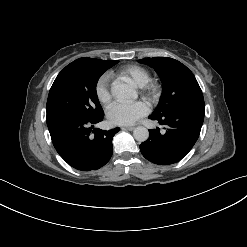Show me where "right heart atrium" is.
Masks as SVG:
<instances>
[{
	"mask_svg": "<svg viewBox=\"0 0 247 247\" xmlns=\"http://www.w3.org/2000/svg\"><path fill=\"white\" fill-rule=\"evenodd\" d=\"M109 77L107 75L101 76L95 86V94L98 101L102 104L110 103L112 99L111 92L108 88Z\"/></svg>",
	"mask_w": 247,
	"mask_h": 247,
	"instance_id": "right-heart-atrium-1",
	"label": "right heart atrium"
}]
</instances>
